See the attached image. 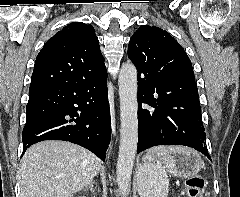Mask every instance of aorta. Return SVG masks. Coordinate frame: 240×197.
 <instances>
[{
  "label": "aorta",
  "mask_w": 240,
  "mask_h": 197,
  "mask_svg": "<svg viewBox=\"0 0 240 197\" xmlns=\"http://www.w3.org/2000/svg\"><path fill=\"white\" fill-rule=\"evenodd\" d=\"M118 83L121 129L116 174L120 193L126 197L130 191L138 142L137 69L133 63L122 65Z\"/></svg>",
  "instance_id": "762f6f07"
}]
</instances>
